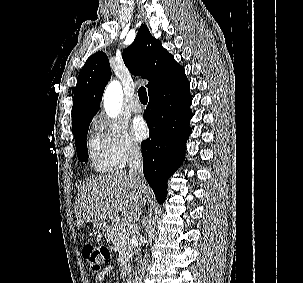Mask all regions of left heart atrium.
<instances>
[{
	"label": "left heart atrium",
	"mask_w": 303,
	"mask_h": 283,
	"mask_svg": "<svg viewBox=\"0 0 303 283\" xmlns=\"http://www.w3.org/2000/svg\"><path fill=\"white\" fill-rule=\"evenodd\" d=\"M132 131L138 140H143L148 134V127L141 117H136L132 122Z\"/></svg>",
	"instance_id": "obj_1"
}]
</instances>
